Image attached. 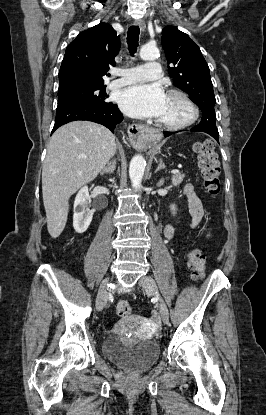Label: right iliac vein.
I'll return each instance as SVG.
<instances>
[{
  "instance_id": "right-iliac-vein-1",
  "label": "right iliac vein",
  "mask_w": 266,
  "mask_h": 415,
  "mask_svg": "<svg viewBox=\"0 0 266 415\" xmlns=\"http://www.w3.org/2000/svg\"><path fill=\"white\" fill-rule=\"evenodd\" d=\"M107 296H108L107 282H105L100 286L99 291H98V295L96 299L97 310H101L105 306L107 302Z\"/></svg>"
}]
</instances>
